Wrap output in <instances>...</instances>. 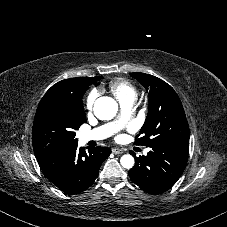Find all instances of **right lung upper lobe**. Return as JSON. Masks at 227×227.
I'll list each match as a JSON object with an SVG mask.
<instances>
[{
  "label": "right lung upper lobe",
  "instance_id": "cb5924a9",
  "mask_svg": "<svg viewBox=\"0 0 227 227\" xmlns=\"http://www.w3.org/2000/svg\"><path fill=\"white\" fill-rule=\"evenodd\" d=\"M94 77H79L62 80L54 84L44 95L41 101H66L75 105H82V97L87 88L91 85L90 81ZM40 101V102H41Z\"/></svg>",
  "mask_w": 227,
  "mask_h": 227
}]
</instances>
